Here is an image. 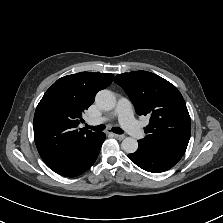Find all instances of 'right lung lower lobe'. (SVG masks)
<instances>
[{"mask_svg":"<svg viewBox=\"0 0 223 223\" xmlns=\"http://www.w3.org/2000/svg\"><path fill=\"white\" fill-rule=\"evenodd\" d=\"M104 140H105V134L99 133L96 140L91 145L88 153L83 158V160L77 166L72 168L71 170L66 171L60 175L66 176V177H74V176H78V175L84 173L86 170H88L93 165L95 160L97 159L101 145L104 142Z\"/></svg>","mask_w":223,"mask_h":223,"instance_id":"98d812e1","label":"right lung lower lobe"}]
</instances>
